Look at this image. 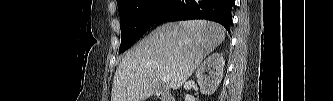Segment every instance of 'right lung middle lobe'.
I'll list each match as a JSON object with an SVG mask.
<instances>
[{
    "mask_svg": "<svg viewBox=\"0 0 333 101\" xmlns=\"http://www.w3.org/2000/svg\"><path fill=\"white\" fill-rule=\"evenodd\" d=\"M170 0H119L121 45L119 53L130 48L151 26L160 22Z\"/></svg>",
    "mask_w": 333,
    "mask_h": 101,
    "instance_id": "1",
    "label": "right lung middle lobe"
}]
</instances>
